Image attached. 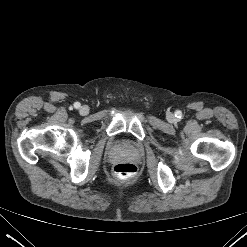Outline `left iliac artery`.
I'll use <instances>...</instances> for the list:
<instances>
[{"label": "left iliac artery", "mask_w": 247, "mask_h": 247, "mask_svg": "<svg viewBox=\"0 0 247 247\" xmlns=\"http://www.w3.org/2000/svg\"><path fill=\"white\" fill-rule=\"evenodd\" d=\"M176 117L181 118L182 116V112L181 111H177L175 114Z\"/></svg>", "instance_id": "1"}]
</instances>
